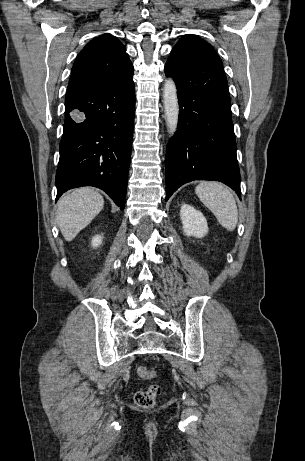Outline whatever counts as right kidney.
Wrapping results in <instances>:
<instances>
[{
    "label": "right kidney",
    "mask_w": 305,
    "mask_h": 461,
    "mask_svg": "<svg viewBox=\"0 0 305 461\" xmlns=\"http://www.w3.org/2000/svg\"><path fill=\"white\" fill-rule=\"evenodd\" d=\"M102 244V236L96 235L92 238V246L94 248L100 246Z\"/></svg>",
    "instance_id": "1"
}]
</instances>
